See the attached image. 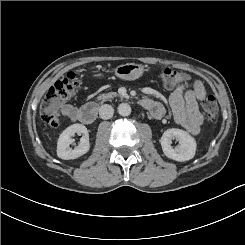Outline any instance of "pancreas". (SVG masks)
Returning a JSON list of instances; mask_svg holds the SVG:
<instances>
[{
    "mask_svg": "<svg viewBox=\"0 0 245 245\" xmlns=\"http://www.w3.org/2000/svg\"><path fill=\"white\" fill-rule=\"evenodd\" d=\"M118 94L116 92H109L107 94H101L97 97V100L100 101L101 103L105 102L106 100L116 97ZM122 97V96H121Z\"/></svg>",
    "mask_w": 245,
    "mask_h": 245,
    "instance_id": "1",
    "label": "pancreas"
}]
</instances>
